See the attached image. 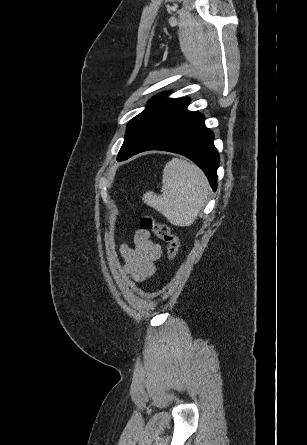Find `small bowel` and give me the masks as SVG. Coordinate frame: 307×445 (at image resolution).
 <instances>
[{
  "label": "small bowel",
  "mask_w": 307,
  "mask_h": 445,
  "mask_svg": "<svg viewBox=\"0 0 307 445\" xmlns=\"http://www.w3.org/2000/svg\"><path fill=\"white\" fill-rule=\"evenodd\" d=\"M125 273L135 281H144L156 272V261L162 249L150 236L149 231L139 229L134 234L133 244H122Z\"/></svg>",
  "instance_id": "c3829d8e"
}]
</instances>
